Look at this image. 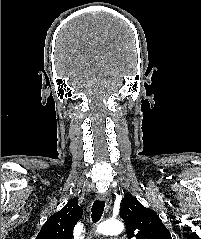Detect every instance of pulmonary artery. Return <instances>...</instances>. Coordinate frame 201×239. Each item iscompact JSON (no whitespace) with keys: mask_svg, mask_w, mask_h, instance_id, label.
<instances>
[{"mask_svg":"<svg viewBox=\"0 0 201 239\" xmlns=\"http://www.w3.org/2000/svg\"><path fill=\"white\" fill-rule=\"evenodd\" d=\"M111 239H122L121 237H113Z\"/></svg>","mask_w":201,"mask_h":239,"instance_id":"1","label":"pulmonary artery"}]
</instances>
